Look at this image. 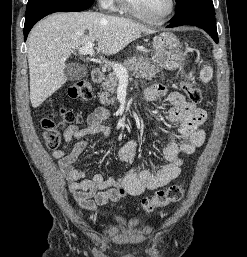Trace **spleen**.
Returning <instances> with one entry per match:
<instances>
[{
    "mask_svg": "<svg viewBox=\"0 0 247 257\" xmlns=\"http://www.w3.org/2000/svg\"><path fill=\"white\" fill-rule=\"evenodd\" d=\"M212 75H213V69L210 66H205L200 72V78L205 83L211 80Z\"/></svg>",
    "mask_w": 247,
    "mask_h": 257,
    "instance_id": "3e777b00",
    "label": "spleen"
}]
</instances>
